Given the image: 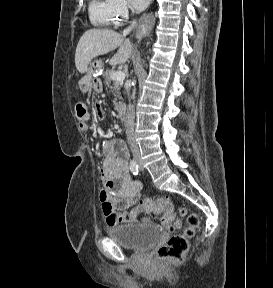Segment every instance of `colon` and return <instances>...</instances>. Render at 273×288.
<instances>
[{
    "instance_id": "1",
    "label": "colon",
    "mask_w": 273,
    "mask_h": 288,
    "mask_svg": "<svg viewBox=\"0 0 273 288\" xmlns=\"http://www.w3.org/2000/svg\"><path fill=\"white\" fill-rule=\"evenodd\" d=\"M95 110L101 111L100 104L95 105ZM139 207L146 213L158 216L161 223L170 229H179L182 220H186L187 226L183 233L170 236L157 251L158 260L181 262L188 250V238L194 235L198 227V216L190 212L185 206L181 207L178 214H176L172 202L167 197L144 199L140 202Z\"/></svg>"
}]
</instances>
